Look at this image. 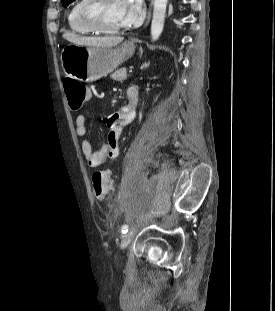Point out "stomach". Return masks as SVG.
<instances>
[{"label":"stomach","mask_w":275,"mask_h":311,"mask_svg":"<svg viewBox=\"0 0 275 311\" xmlns=\"http://www.w3.org/2000/svg\"><path fill=\"white\" fill-rule=\"evenodd\" d=\"M135 51V44L126 41L118 47H95L68 44L61 52L64 73L74 79L93 82L107 76Z\"/></svg>","instance_id":"stomach-1"}]
</instances>
